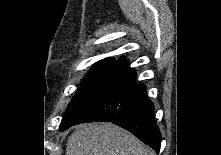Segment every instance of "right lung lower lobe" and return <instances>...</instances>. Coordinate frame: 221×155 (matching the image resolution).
<instances>
[{
  "label": "right lung lower lobe",
  "instance_id": "1",
  "mask_svg": "<svg viewBox=\"0 0 221 155\" xmlns=\"http://www.w3.org/2000/svg\"><path fill=\"white\" fill-rule=\"evenodd\" d=\"M136 72L123 59L107 80L92 109L80 123L112 122L133 133L157 153L161 134L153 117L154 105L144 84L135 81Z\"/></svg>",
  "mask_w": 221,
  "mask_h": 155
}]
</instances>
